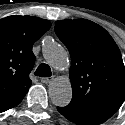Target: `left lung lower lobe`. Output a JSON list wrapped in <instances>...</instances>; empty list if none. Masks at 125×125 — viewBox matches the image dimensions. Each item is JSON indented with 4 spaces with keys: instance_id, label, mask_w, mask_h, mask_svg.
<instances>
[{
    "instance_id": "left-lung-lower-lobe-1",
    "label": "left lung lower lobe",
    "mask_w": 125,
    "mask_h": 125,
    "mask_svg": "<svg viewBox=\"0 0 125 125\" xmlns=\"http://www.w3.org/2000/svg\"><path fill=\"white\" fill-rule=\"evenodd\" d=\"M57 110L65 118L78 125L101 124L117 111V109L114 108L70 109L67 107H57Z\"/></svg>"
}]
</instances>
